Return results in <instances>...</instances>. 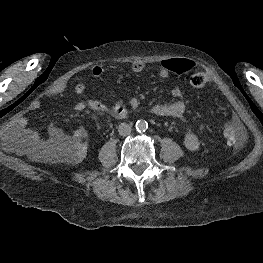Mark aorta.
<instances>
[{
	"label": "aorta",
	"mask_w": 263,
	"mask_h": 263,
	"mask_svg": "<svg viewBox=\"0 0 263 263\" xmlns=\"http://www.w3.org/2000/svg\"><path fill=\"white\" fill-rule=\"evenodd\" d=\"M135 127L137 131L143 132L148 128V123L145 120H138Z\"/></svg>",
	"instance_id": "obj_1"
}]
</instances>
